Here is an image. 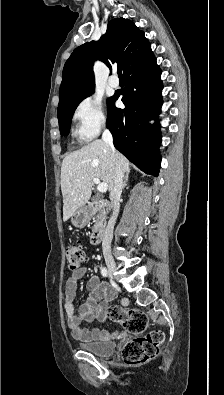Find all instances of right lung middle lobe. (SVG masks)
Instances as JSON below:
<instances>
[{"instance_id": "1", "label": "right lung middle lobe", "mask_w": 224, "mask_h": 395, "mask_svg": "<svg viewBox=\"0 0 224 395\" xmlns=\"http://www.w3.org/2000/svg\"><path fill=\"white\" fill-rule=\"evenodd\" d=\"M94 92V89L80 94L77 97L73 98L69 101L65 106L58 109V120H59V129L62 136L68 135L70 131V124L73 113L78 106V104L86 97L91 95ZM111 100V97L108 99V104Z\"/></svg>"}]
</instances>
